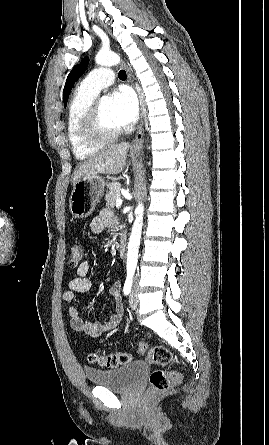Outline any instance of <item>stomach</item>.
<instances>
[{
	"instance_id": "1",
	"label": "stomach",
	"mask_w": 269,
	"mask_h": 445,
	"mask_svg": "<svg viewBox=\"0 0 269 445\" xmlns=\"http://www.w3.org/2000/svg\"><path fill=\"white\" fill-rule=\"evenodd\" d=\"M106 184L100 175L82 177L71 192L69 209L72 216L79 219L88 217L103 196Z\"/></svg>"
}]
</instances>
